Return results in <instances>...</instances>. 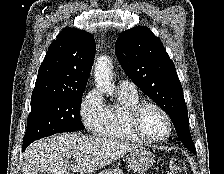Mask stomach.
I'll return each instance as SVG.
<instances>
[{"mask_svg": "<svg viewBox=\"0 0 224 174\" xmlns=\"http://www.w3.org/2000/svg\"><path fill=\"white\" fill-rule=\"evenodd\" d=\"M154 161L155 157L153 153L144 147L134 149L130 151L126 156L128 167L138 173L147 171ZM100 173L106 174L108 172H106L105 170Z\"/></svg>", "mask_w": 224, "mask_h": 174, "instance_id": "obj_1", "label": "stomach"}]
</instances>
